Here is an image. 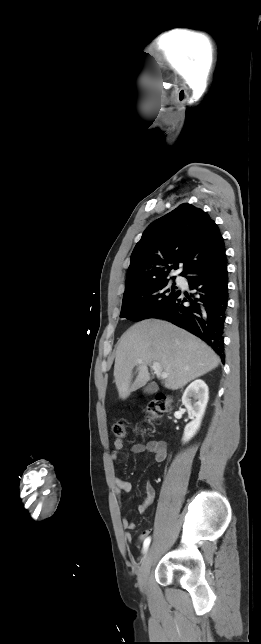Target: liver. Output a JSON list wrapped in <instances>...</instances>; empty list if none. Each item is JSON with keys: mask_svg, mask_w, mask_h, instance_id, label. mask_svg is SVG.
Masks as SVG:
<instances>
[{"mask_svg": "<svg viewBox=\"0 0 261 644\" xmlns=\"http://www.w3.org/2000/svg\"><path fill=\"white\" fill-rule=\"evenodd\" d=\"M153 362L160 363L162 371L168 374L163 380L164 387L177 390L215 369L220 359L206 343L169 322L158 319L138 322L121 336L116 348L114 378L121 399L125 400L149 381L148 366ZM135 366L138 375L132 383Z\"/></svg>", "mask_w": 261, "mask_h": 644, "instance_id": "6515ba94", "label": "liver"}]
</instances>
